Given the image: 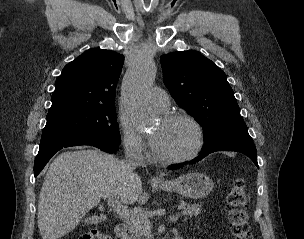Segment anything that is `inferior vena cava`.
I'll return each mask as SVG.
<instances>
[{
	"instance_id": "obj_1",
	"label": "inferior vena cava",
	"mask_w": 304,
	"mask_h": 239,
	"mask_svg": "<svg viewBox=\"0 0 304 239\" xmlns=\"http://www.w3.org/2000/svg\"><path fill=\"white\" fill-rule=\"evenodd\" d=\"M124 148L126 155L125 166L130 172V174L134 176V169L138 166L145 165L142 150L137 144L133 142H125Z\"/></svg>"
}]
</instances>
